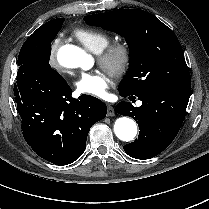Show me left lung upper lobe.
<instances>
[{
	"label": "left lung upper lobe",
	"instance_id": "obj_1",
	"mask_svg": "<svg viewBox=\"0 0 209 209\" xmlns=\"http://www.w3.org/2000/svg\"><path fill=\"white\" fill-rule=\"evenodd\" d=\"M84 21L125 37L130 67L118 86L119 93L137 95L160 85L191 89L181 44L155 16L139 9H120L88 15Z\"/></svg>",
	"mask_w": 209,
	"mask_h": 209
}]
</instances>
